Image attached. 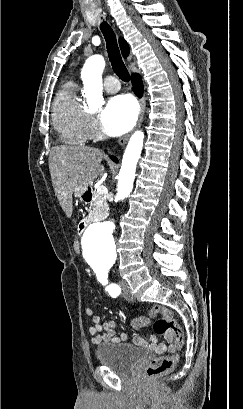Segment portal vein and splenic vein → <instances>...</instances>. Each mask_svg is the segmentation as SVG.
<instances>
[{
  "label": "portal vein and splenic vein",
  "instance_id": "1",
  "mask_svg": "<svg viewBox=\"0 0 243 409\" xmlns=\"http://www.w3.org/2000/svg\"><path fill=\"white\" fill-rule=\"evenodd\" d=\"M97 192H98L99 194L103 195V194H105V193L107 192V188H106L105 186L101 185V186H99V187L97 188Z\"/></svg>",
  "mask_w": 243,
  "mask_h": 409
}]
</instances>
